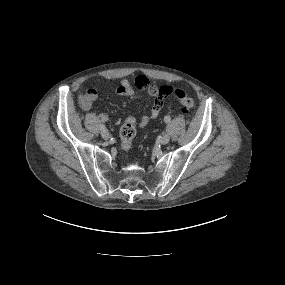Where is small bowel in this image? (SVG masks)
I'll return each instance as SVG.
<instances>
[{"mask_svg":"<svg viewBox=\"0 0 285 285\" xmlns=\"http://www.w3.org/2000/svg\"><path fill=\"white\" fill-rule=\"evenodd\" d=\"M145 79L143 85L138 84L139 79ZM136 88L147 92L152 97L151 109L148 114L143 115L138 121L137 125L139 128H144L148 125L151 120L156 119L164 105V100L173 95L174 89L170 86H157L150 82L146 77L139 76L135 81ZM116 92L119 95L125 97H132L135 94V88L128 80H122L118 85ZM97 98V92L94 89L88 90V92L81 98L80 105L85 111H89L93 105L94 100ZM98 119L105 123L108 121L109 116L106 113H100Z\"/></svg>","mask_w":285,"mask_h":285,"instance_id":"small-bowel-1","label":"small bowel"}]
</instances>
